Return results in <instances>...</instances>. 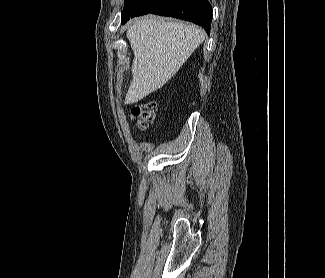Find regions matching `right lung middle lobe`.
<instances>
[{"instance_id": "dd1d6c3e", "label": "right lung middle lobe", "mask_w": 325, "mask_h": 278, "mask_svg": "<svg viewBox=\"0 0 325 278\" xmlns=\"http://www.w3.org/2000/svg\"><path fill=\"white\" fill-rule=\"evenodd\" d=\"M134 1L135 0H125V6L122 11V18L129 16L134 11V7H133Z\"/></svg>"}]
</instances>
